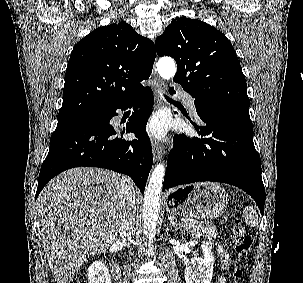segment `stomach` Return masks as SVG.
Here are the masks:
<instances>
[{"label": "stomach", "mask_w": 303, "mask_h": 283, "mask_svg": "<svg viewBox=\"0 0 303 283\" xmlns=\"http://www.w3.org/2000/svg\"><path fill=\"white\" fill-rule=\"evenodd\" d=\"M229 197L216 183H196L174 188L166 195L167 210L191 219H213L221 216Z\"/></svg>", "instance_id": "1"}]
</instances>
